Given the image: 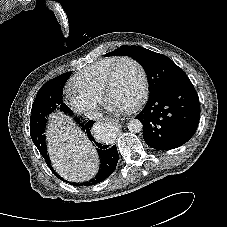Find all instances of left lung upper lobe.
<instances>
[{"instance_id":"1","label":"left lung upper lobe","mask_w":227,"mask_h":227,"mask_svg":"<svg viewBox=\"0 0 227 227\" xmlns=\"http://www.w3.org/2000/svg\"><path fill=\"white\" fill-rule=\"evenodd\" d=\"M106 55H129L137 60L148 76L150 95L169 85L188 79L183 70L170 58L140 46H121Z\"/></svg>"}]
</instances>
